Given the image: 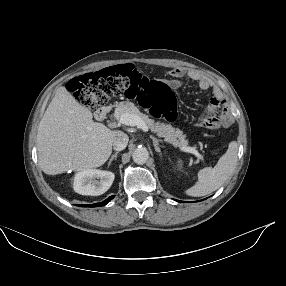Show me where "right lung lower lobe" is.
<instances>
[{
	"label": "right lung lower lobe",
	"instance_id": "right-lung-lower-lobe-1",
	"mask_svg": "<svg viewBox=\"0 0 286 286\" xmlns=\"http://www.w3.org/2000/svg\"><path fill=\"white\" fill-rule=\"evenodd\" d=\"M114 196H110L108 199L104 200L103 202L101 203H95V204H92V205H78V206H81V207H99V206H105L111 199H113Z\"/></svg>",
	"mask_w": 286,
	"mask_h": 286
}]
</instances>
